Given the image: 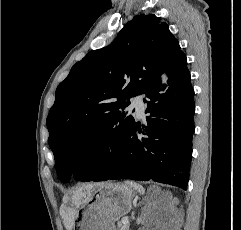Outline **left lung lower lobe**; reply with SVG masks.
Returning <instances> with one entry per match:
<instances>
[{
	"label": "left lung lower lobe",
	"mask_w": 241,
	"mask_h": 230,
	"mask_svg": "<svg viewBox=\"0 0 241 230\" xmlns=\"http://www.w3.org/2000/svg\"><path fill=\"white\" fill-rule=\"evenodd\" d=\"M169 88L160 79L146 92V123L133 124L116 141L98 143L74 167L81 181L153 180L187 189L194 134V89L187 58L180 54L167 70ZM139 132L143 137H138Z\"/></svg>",
	"instance_id": "obj_1"
}]
</instances>
